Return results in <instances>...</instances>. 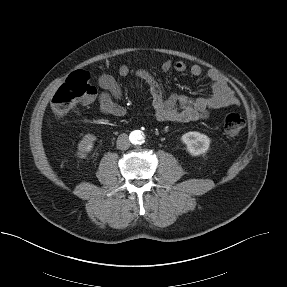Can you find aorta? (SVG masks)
I'll return each instance as SVG.
<instances>
[{
    "label": "aorta",
    "instance_id": "obj_1",
    "mask_svg": "<svg viewBox=\"0 0 287 287\" xmlns=\"http://www.w3.org/2000/svg\"><path fill=\"white\" fill-rule=\"evenodd\" d=\"M130 140L134 144H141L144 141V135L139 130L133 131L130 134Z\"/></svg>",
    "mask_w": 287,
    "mask_h": 287
}]
</instances>
